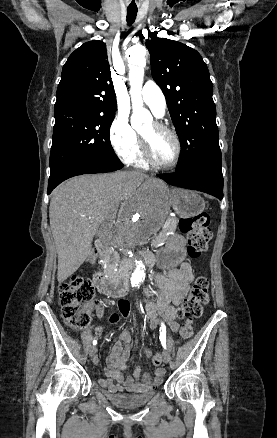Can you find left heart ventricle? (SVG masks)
<instances>
[{"label": "left heart ventricle", "instance_id": "obj_1", "mask_svg": "<svg viewBox=\"0 0 277 438\" xmlns=\"http://www.w3.org/2000/svg\"><path fill=\"white\" fill-rule=\"evenodd\" d=\"M139 133L150 138L154 155L160 162L170 163L174 159L176 146L171 136L155 129L152 122Z\"/></svg>", "mask_w": 277, "mask_h": 438}]
</instances>
